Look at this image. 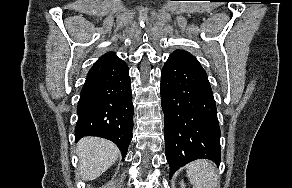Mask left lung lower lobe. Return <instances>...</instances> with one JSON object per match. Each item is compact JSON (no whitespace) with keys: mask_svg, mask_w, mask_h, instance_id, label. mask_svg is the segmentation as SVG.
Returning a JSON list of instances; mask_svg holds the SVG:
<instances>
[{"mask_svg":"<svg viewBox=\"0 0 292 188\" xmlns=\"http://www.w3.org/2000/svg\"><path fill=\"white\" fill-rule=\"evenodd\" d=\"M160 90L170 174L198 158L219 164L221 132L205 70L170 55L161 71Z\"/></svg>","mask_w":292,"mask_h":188,"instance_id":"0a47b994","label":"left lung lower lobe"}]
</instances>
